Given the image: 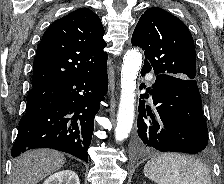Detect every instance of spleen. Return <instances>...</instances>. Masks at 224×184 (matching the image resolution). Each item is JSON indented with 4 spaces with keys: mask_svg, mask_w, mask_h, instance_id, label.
Instances as JSON below:
<instances>
[{
    "mask_svg": "<svg viewBox=\"0 0 224 184\" xmlns=\"http://www.w3.org/2000/svg\"><path fill=\"white\" fill-rule=\"evenodd\" d=\"M144 175L157 184H212L207 167L199 160L177 153L150 159Z\"/></svg>",
    "mask_w": 224,
    "mask_h": 184,
    "instance_id": "3e777b00",
    "label": "spleen"
}]
</instances>
